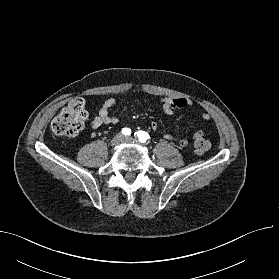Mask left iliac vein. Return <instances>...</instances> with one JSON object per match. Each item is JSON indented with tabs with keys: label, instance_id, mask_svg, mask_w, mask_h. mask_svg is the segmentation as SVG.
Masks as SVG:
<instances>
[{
	"label": "left iliac vein",
	"instance_id": "obj_1",
	"mask_svg": "<svg viewBox=\"0 0 279 279\" xmlns=\"http://www.w3.org/2000/svg\"><path fill=\"white\" fill-rule=\"evenodd\" d=\"M123 142H125V143H134V139L132 137L127 136V137L123 138Z\"/></svg>",
	"mask_w": 279,
	"mask_h": 279
}]
</instances>
